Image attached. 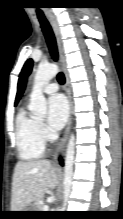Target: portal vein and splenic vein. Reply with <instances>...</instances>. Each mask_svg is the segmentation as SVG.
Segmentation results:
<instances>
[{"label":"portal vein and splenic vein","mask_w":123,"mask_h":219,"mask_svg":"<svg viewBox=\"0 0 123 219\" xmlns=\"http://www.w3.org/2000/svg\"><path fill=\"white\" fill-rule=\"evenodd\" d=\"M48 208H49L48 205H46V204L43 205V211H48Z\"/></svg>","instance_id":"18ae733b"}]
</instances>
